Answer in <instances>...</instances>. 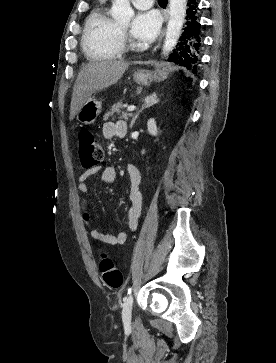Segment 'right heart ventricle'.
<instances>
[{"mask_svg": "<svg viewBox=\"0 0 276 363\" xmlns=\"http://www.w3.org/2000/svg\"><path fill=\"white\" fill-rule=\"evenodd\" d=\"M82 48L93 60H111L122 54L120 26L105 8L100 7L89 15L83 30Z\"/></svg>", "mask_w": 276, "mask_h": 363, "instance_id": "1", "label": "right heart ventricle"}]
</instances>
